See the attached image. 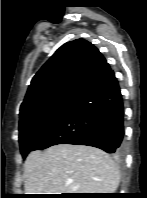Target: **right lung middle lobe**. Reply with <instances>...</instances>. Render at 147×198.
<instances>
[{"mask_svg":"<svg viewBox=\"0 0 147 198\" xmlns=\"http://www.w3.org/2000/svg\"><path fill=\"white\" fill-rule=\"evenodd\" d=\"M75 101H55L41 105L23 116L19 122V143L22 157L33 151L36 144L72 108Z\"/></svg>","mask_w":147,"mask_h":198,"instance_id":"dd1d6c3e","label":"right lung middle lobe"}]
</instances>
